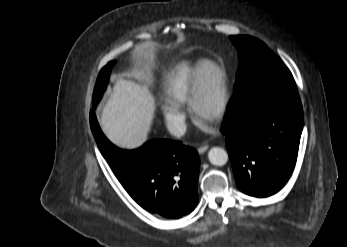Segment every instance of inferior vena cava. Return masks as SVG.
<instances>
[{
    "instance_id": "602c4592",
    "label": "inferior vena cava",
    "mask_w": 347,
    "mask_h": 247,
    "mask_svg": "<svg viewBox=\"0 0 347 247\" xmlns=\"http://www.w3.org/2000/svg\"><path fill=\"white\" fill-rule=\"evenodd\" d=\"M168 131L175 137H181L185 134L187 125L183 121H170L167 124Z\"/></svg>"
}]
</instances>
